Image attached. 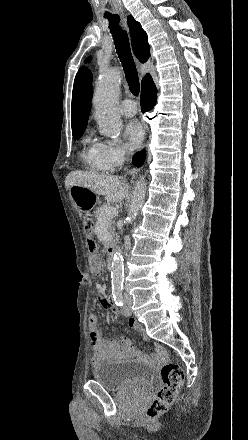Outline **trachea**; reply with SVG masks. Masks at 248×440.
Listing matches in <instances>:
<instances>
[{"instance_id": "1", "label": "trachea", "mask_w": 248, "mask_h": 440, "mask_svg": "<svg viewBox=\"0 0 248 440\" xmlns=\"http://www.w3.org/2000/svg\"><path fill=\"white\" fill-rule=\"evenodd\" d=\"M110 32L113 36L118 57L122 63L128 86L133 95L137 96L140 91L138 72L132 57L128 34L119 26L118 15L108 14Z\"/></svg>"}]
</instances>
